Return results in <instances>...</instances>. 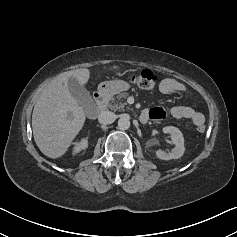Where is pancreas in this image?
<instances>
[{"instance_id": "pancreas-1", "label": "pancreas", "mask_w": 237, "mask_h": 237, "mask_svg": "<svg viewBox=\"0 0 237 237\" xmlns=\"http://www.w3.org/2000/svg\"><path fill=\"white\" fill-rule=\"evenodd\" d=\"M127 94H122L119 96V98L121 97H125L126 98ZM126 103H123V102H117L115 99H112V103H110L108 106L111 110H114V111H121L124 109Z\"/></svg>"}]
</instances>
